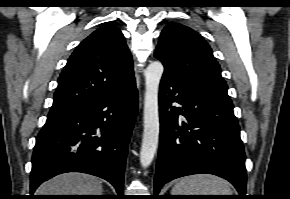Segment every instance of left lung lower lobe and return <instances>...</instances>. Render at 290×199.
I'll list each match as a JSON object with an SVG mask.
<instances>
[{"label":"left lung lower lobe","mask_w":290,"mask_h":199,"mask_svg":"<svg viewBox=\"0 0 290 199\" xmlns=\"http://www.w3.org/2000/svg\"><path fill=\"white\" fill-rule=\"evenodd\" d=\"M159 105L155 195L175 178L208 173L231 182L245 198V152L230 97L164 73Z\"/></svg>","instance_id":"left-lung-lower-lobe-1"}]
</instances>
